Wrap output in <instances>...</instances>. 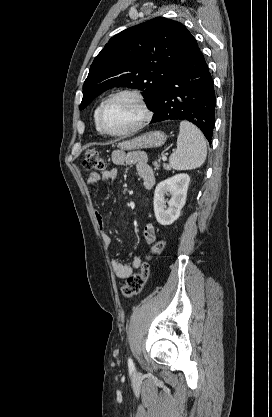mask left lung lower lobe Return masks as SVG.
Listing matches in <instances>:
<instances>
[{"instance_id": "1", "label": "left lung lower lobe", "mask_w": 272, "mask_h": 417, "mask_svg": "<svg viewBox=\"0 0 272 417\" xmlns=\"http://www.w3.org/2000/svg\"><path fill=\"white\" fill-rule=\"evenodd\" d=\"M214 82L200 50L186 60L157 97L151 122L181 119L197 125L211 143L215 123Z\"/></svg>"}]
</instances>
